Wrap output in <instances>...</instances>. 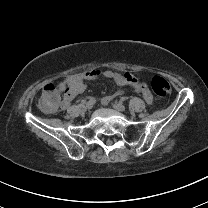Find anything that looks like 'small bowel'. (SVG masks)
Segmentation results:
<instances>
[{
	"label": "small bowel",
	"mask_w": 208,
	"mask_h": 208,
	"mask_svg": "<svg viewBox=\"0 0 208 208\" xmlns=\"http://www.w3.org/2000/svg\"><path fill=\"white\" fill-rule=\"evenodd\" d=\"M99 70L86 71L83 73L73 74L68 77L60 84L65 91V99L62 101V107L67 108L72 105V99L79 93H82L86 86L85 82L88 80L95 79L99 75ZM103 76L107 79L115 81L119 86H132L137 92L141 93L144 100L151 104L153 102V96L147 86L144 83H140L137 78L131 74H122L114 70H105ZM120 92L113 95H107L102 99V104H109Z\"/></svg>",
	"instance_id": "c3829d8e"
}]
</instances>
